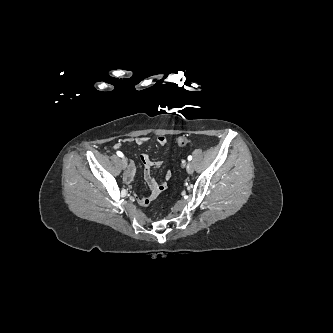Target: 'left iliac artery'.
<instances>
[{"label":"left iliac artery","mask_w":333,"mask_h":333,"mask_svg":"<svg viewBox=\"0 0 333 333\" xmlns=\"http://www.w3.org/2000/svg\"><path fill=\"white\" fill-rule=\"evenodd\" d=\"M188 160H189V161L192 160V156H191V155L188 156Z\"/></svg>","instance_id":"44dca946"}]
</instances>
